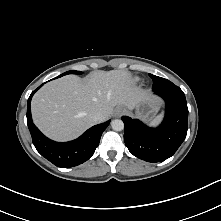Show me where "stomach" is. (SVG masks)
<instances>
[{
	"label": "stomach",
	"mask_w": 221,
	"mask_h": 221,
	"mask_svg": "<svg viewBox=\"0 0 221 221\" xmlns=\"http://www.w3.org/2000/svg\"><path fill=\"white\" fill-rule=\"evenodd\" d=\"M158 101L154 98H145L135 107L136 116L143 119H151L157 110Z\"/></svg>",
	"instance_id": "1"
}]
</instances>
